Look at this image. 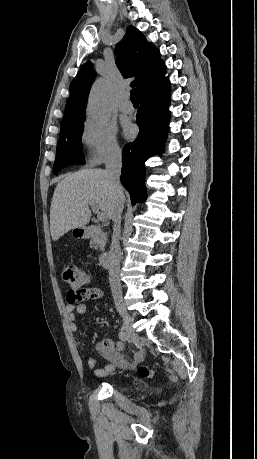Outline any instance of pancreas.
Returning <instances> with one entry per match:
<instances>
[{
	"label": "pancreas",
	"instance_id": "obj_1",
	"mask_svg": "<svg viewBox=\"0 0 257 459\" xmlns=\"http://www.w3.org/2000/svg\"><path fill=\"white\" fill-rule=\"evenodd\" d=\"M90 246L94 249H97L98 247L102 248L104 246V240L99 235H96L90 241Z\"/></svg>",
	"mask_w": 257,
	"mask_h": 459
}]
</instances>
